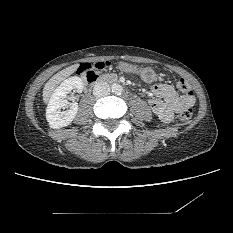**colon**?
Returning <instances> with one entry per match:
<instances>
[{
	"mask_svg": "<svg viewBox=\"0 0 233 233\" xmlns=\"http://www.w3.org/2000/svg\"><path fill=\"white\" fill-rule=\"evenodd\" d=\"M111 64L109 62L99 61L96 63H81L77 69V73L82 77H92L97 74V71H102L110 67ZM178 89L183 93V96L189 102L193 100V92L188 84V82L184 79H180L177 83ZM192 111L190 109L183 111L178 119V124L184 123L191 118Z\"/></svg>",
	"mask_w": 233,
	"mask_h": 233,
	"instance_id": "5ec220e1",
	"label": "colon"
}]
</instances>
